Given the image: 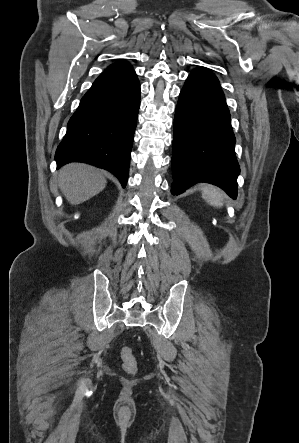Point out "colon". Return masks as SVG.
Segmentation results:
<instances>
[{"label":"colon","mask_w":299,"mask_h":443,"mask_svg":"<svg viewBox=\"0 0 299 443\" xmlns=\"http://www.w3.org/2000/svg\"><path fill=\"white\" fill-rule=\"evenodd\" d=\"M121 355L123 361V369L128 374H135L137 371V362L135 357L133 356L131 349L123 348Z\"/></svg>","instance_id":"colon-1"}]
</instances>
